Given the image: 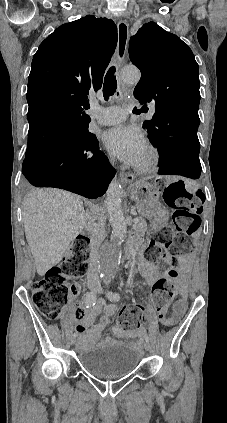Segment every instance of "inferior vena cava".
<instances>
[{
	"mask_svg": "<svg viewBox=\"0 0 227 423\" xmlns=\"http://www.w3.org/2000/svg\"><path fill=\"white\" fill-rule=\"evenodd\" d=\"M111 162H115L114 158H110ZM97 219V221H95ZM87 225H92L90 231V259L87 271L88 281H99V247L105 239V219L102 215H91L86 213Z\"/></svg>",
	"mask_w": 227,
	"mask_h": 423,
	"instance_id": "1",
	"label": "inferior vena cava"
}]
</instances>
